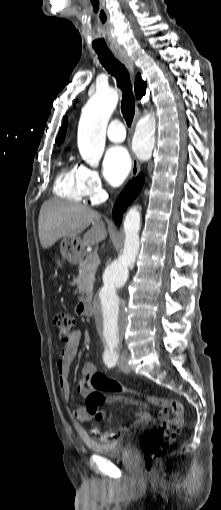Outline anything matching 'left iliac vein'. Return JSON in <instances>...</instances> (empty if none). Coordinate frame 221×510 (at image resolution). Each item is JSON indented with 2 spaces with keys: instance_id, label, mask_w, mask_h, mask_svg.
Returning a JSON list of instances; mask_svg holds the SVG:
<instances>
[{
  "instance_id": "obj_1",
  "label": "left iliac vein",
  "mask_w": 221,
  "mask_h": 510,
  "mask_svg": "<svg viewBox=\"0 0 221 510\" xmlns=\"http://www.w3.org/2000/svg\"><path fill=\"white\" fill-rule=\"evenodd\" d=\"M118 366L123 372H125V373L130 372V368L127 363V356L125 354L120 356Z\"/></svg>"
}]
</instances>
